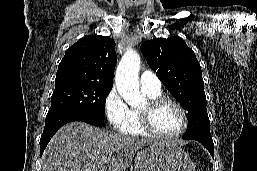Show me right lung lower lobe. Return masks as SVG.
<instances>
[{
    "label": "right lung lower lobe",
    "mask_w": 257,
    "mask_h": 171,
    "mask_svg": "<svg viewBox=\"0 0 257 171\" xmlns=\"http://www.w3.org/2000/svg\"><path fill=\"white\" fill-rule=\"evenodd\" d=\"M73 121H82L94 126L103 127L105 123L102 119L96 118L80 111H62L52 113L46 116L45 127L40 139V152L43 154L48 142L53 135L66 123Z\"/></svg>",
    "instance_id": "obj_1"
}]
</instances>
